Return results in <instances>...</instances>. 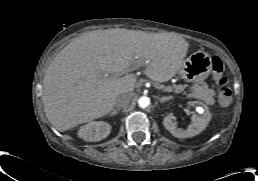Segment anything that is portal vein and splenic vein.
Here are the masks:
<instances>
[{
  "instance_id": "obj_1",
  "label": "portal vein and splenic vein",
  "mask_w": 258,
  "mask_h": 181,
  "mask_svg": "<svg viewBox=\"0 0 258 181\" xmlns=\"http://www.w3.org/2000/svg\"><path fill=\"white\" fill-rule=\"evenodd\" d=\"M164 90L167 92H172V89L170 87H165Z\"/></svg>"
}]
</instances>
